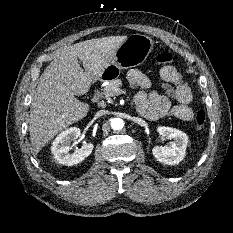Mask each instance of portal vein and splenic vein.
<instances>
[{
    "label": "portal vein and splenic vein",
    "mask_w": 233,
    "mask_h": 233,
    "mask_svg": "<svg viewBox=\"0 0 233 233\" xmlns=\"http://www.w3.org/2000/svg\"><path fill=\"white\" fill-rule=\"evenodd\" d=\"M119 94H126V92L120 90Z\"/></svg>",
    "instance_id": "obj_1"
}]
</instances>
